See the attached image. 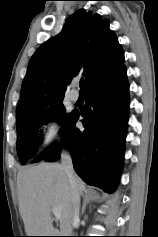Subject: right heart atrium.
Here are the masks:
<instances>
[{"label":"right heart atrium","instance_id":"1","mask_svg":"<svg viewBox=\"0 0 158 237\" xmlns=\"http://www.w3.org/2000/svg\"><path fill=\"white\" fill-rule=\"evenodd\" d=\"M38 133L44 150H50L63 141L61 122L57 116L47 117L42 122Z\"/></svg>","mask_w":158,"mask_h":237}]
</instances>
